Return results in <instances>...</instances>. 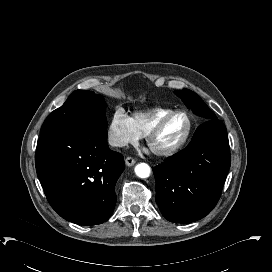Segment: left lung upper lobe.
<instances>
[{
    "label": "left lung upper lobe",
    "mask_w": 272,
    "mask_h": 272,
    "mask_svg": "<svg viewBox=\"0 0 272 272\" xmlns=\"http://www.w3.org/2000/svg\"><path fill=\"white\" fill-rule=\"evenodd\" d=\"M175 94L180 97L184 104L188 108H191L195 114L204 117L206 120L217 119L214 112L193 91L183 89V91H175Z\"/></svg>",
    "instance_id": "5c2ea615"
}]
</instances>
